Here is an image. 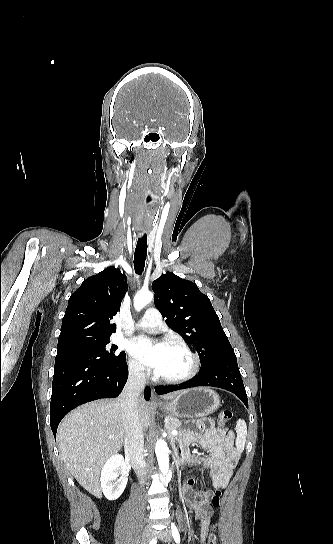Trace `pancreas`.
Returning a JSON list of instances; mask_svg holds the SVG:
<instances>
[{
	"instance_id": "pancreas-1",
	"label": "pancreas",
	"mask_w": 333,
	"mask_h": 544,
	"mask_svg": "<svg viewBox=\"0 0 333 544\" xmlns=\"http://www.w3.org/2000/svg\"><path fill=\"white\" fill-rule=\"evenodd\" d=\"M165 420H166L165 421V428L169 432L170 437H172V438H177L178 437V435L175 436V435H173L171 433L172 430H177L179 435L184 432V430L181 429L179 420L177 418H175L174 416H166Z\"/></svg>"
}]
</instances>
